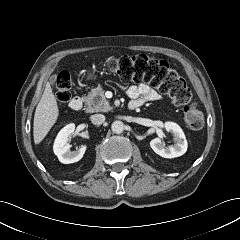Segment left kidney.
I'll use <instances>...</instances> for the list:
<instances>
[{"instance_id":"5707ae66","label":"left kidney","mask_w":240,"mask_h":240,"mask_svg":"<svg viewBox=\"0 0 240 240\" xmlns=\"http://www.w3.org/2000/svg\"><path fill=\"white\" fill-rule=\"evenodd\" d=\"M164 128L167 132L173 134L176 143L165 147L160 137L150 141L152 150L163 158H175L182 156L187 151V140L180 126L174 122H166Z\"/></svg>"}]
</instances>
